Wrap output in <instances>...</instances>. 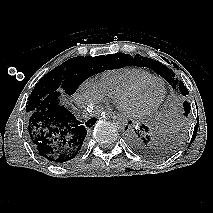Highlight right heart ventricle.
<instances>
[{
    "label": "right heart ventricle",
    "instance_id": "right-heart-ventricle-1",
    "mask_svg": "<svg viewBox=\"0 0 213 213\" xmlns=\"http://www.w3.org/2000/svg\"><path fill=\"white\" fill-rule=\"evenodd\" d=\"M150 74L139 67H122L103 72L95 85L106 98L116 99L131 84Z\"/></svg>",
    "mask_w": 213,
    "mask_h": 213
}]
</instances>
